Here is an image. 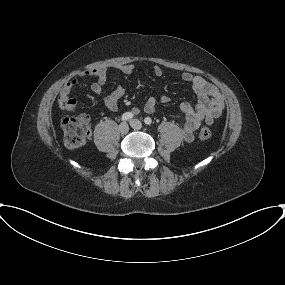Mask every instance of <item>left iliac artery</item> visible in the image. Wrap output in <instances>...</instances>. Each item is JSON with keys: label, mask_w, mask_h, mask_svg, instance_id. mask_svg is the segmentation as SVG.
I'll list each match as a JSON object with an SVG mask.
<instances>
[{"label": "left iliac artery", "mask_w": 285, "mask_h": 285, "mask_svg": "<svg viewBox=\"0 0 285 285\" xmlns=\"http://www.w3.org/2000/svg\"><path fill=\"white\" fill-rule=\"evenodd\" d=\"M144 123H145L146 125H150V124L152 123V119H151L150 117H146V118L144 119Z\"/></svg>", "instance_id": "44dca946"}]
</instances>
